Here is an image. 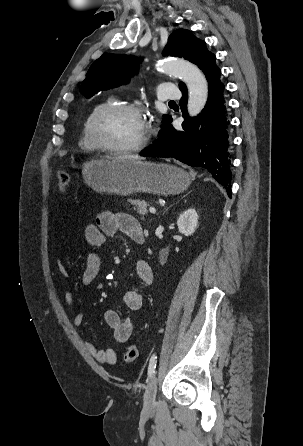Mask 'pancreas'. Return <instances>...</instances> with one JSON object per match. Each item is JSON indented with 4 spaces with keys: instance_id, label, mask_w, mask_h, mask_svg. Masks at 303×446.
<instances>
[{
    "instance_id": "pancreas-1",
    "label": "pancreas",
    "mask_w": 303,
    "mask_h": 446,
    "mask_svg": "<svg viewBox=\"0 0 303 446\" xmlns=\"http://www.w3.org/2000/svg\"><path fill=\"white\" fill-rule=\"evenodd\" d=\"M129 201L134 206V210H136L137 213H139L142 216V219H144V215L147 214V206L149 204L144 200H138V199L135 200L129 199Z\"/></svg>"
}]
</instances>
